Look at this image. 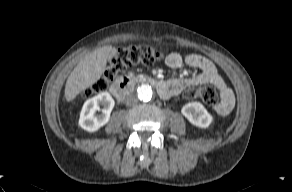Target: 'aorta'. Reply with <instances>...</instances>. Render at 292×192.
I'll return each instance as SVG.
<instances>
[{
	"mask_svg": "<svg viewBox=\"0 0 292 192\" xmlns=\"http://www.w3.org/2000/svg\"><path fill=\"white\" fill-rule=\"evenodd\" d=\"M153 95L152 87L148 84H143L137 89V96L143 102H148L151 100Z\"/></svg>",
	"mask_w": 292,
	"mask_h": 192,
	"instance_id": "762f6f07",
	"label": "aorta"
}]
</instances>
